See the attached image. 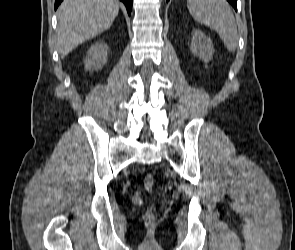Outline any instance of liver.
<instances>
[{
	"instance_id": "1",
	"label": "liver",
	"mask_w": 295,
	"mask_h": 250,
	"mask_svg": "<svg viewBox=\"0 0 295 250\" xmlns=\"http://www.w3.org/2000/svg\"><path fill=\"white\" fill-rule=\"evenodd\" d=\"M118 11L117 0H64L58 8L60 56L110 28Z\"/></svg>"
}]
</instances>
